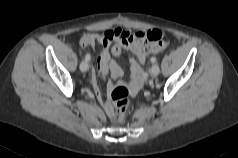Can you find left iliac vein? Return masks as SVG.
<instances>
[{"instance_id": "1", "label": "left iliac vein", "mask_w": 238, "mask_h": 158, "mask_svg": "<svg viewBox=\"0 0 238 158\" xmlns=\"http://www.w3.org/2000/svg\"><path fill=\"white\" fill-rule=\"evenodd\" d=\"M150 72L153 76H157L160 72L159 65L158 64H153L152 67H151Z\"/></svg>"}]
</instances>
